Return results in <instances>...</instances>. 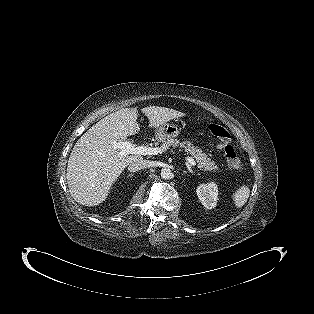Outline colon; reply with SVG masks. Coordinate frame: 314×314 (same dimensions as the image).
Instances as JSON below:
<instances>
[{"instance_id": "obj_1", "label": "colon", "mask_w": 314, "mask_h": 314, "mask_svg": "<svg viewBox=\"0 0 314 314\" xmlns=\"http://www.w3.org/2000/svg\"><path fill=\"white\" fill-rule=\"evenodd\" d=\"M208 130L210 134L218 140V147L223 152L228 165L232 169H240L242 167V162L236 149L230 143V134L226 128H224L221 124L214 122L209 124Z\"/></svg>"}]
</instances>
